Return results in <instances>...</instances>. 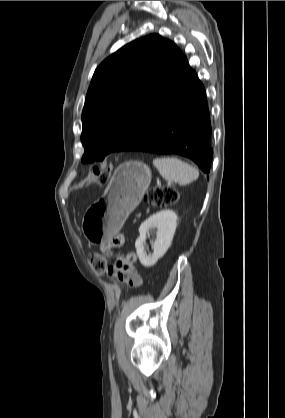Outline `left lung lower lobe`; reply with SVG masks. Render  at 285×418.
Wrapping results in <instances>:
<instances>
[{"label": "left lung lower lobe", "mask_w": 285, "mask_h": 418, "mask_svg": "<svg viewBox=\"0 0 285 418\" xmlns=\"http://www.w3.org/2000/svg\"><path fill=\"white\" fill-rule=\"evenodd\" d=\"M210 136L205 88L184 57L168 88L123 151L179 154L208 173L213 155Z\"/></svg>", "instance_id": "0a47b994"}]
</instances>
